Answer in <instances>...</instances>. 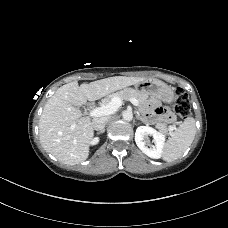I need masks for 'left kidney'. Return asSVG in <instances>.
I'll use <instances>...</instances> for the list:
<instances>
[{"label":"left kidney","instance_id":"5707ae66","mask_svg":"<svg viewBox=\"0 0 228 228\" xmlns=\"http://www.w3.org/2000/svg\"><path fill=\"white\" fill-rule=\"evenodd\" d=\"M153 137L154 145L148 142V136ZM135 142L139 149L152 159H159L162 156L165 135L149 126H139L135 132Z\"/></svg>","mask_w":228,"mask_h":228}]
</instances>
